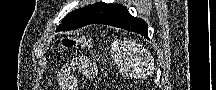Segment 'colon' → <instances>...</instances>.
Wrapping results in <instances>:
<instances>
[{
	"label": "colon",
	"mask_w": 216,
	"mask_h": 90,
	"mask_svg": "<svg viewBox=\"0 0 216 90\" xmlns=\"http://www.w3.org/2000/svg\"><path fill=\"white\" fill-rule=\"evenodd\" d=\"M63 44L66 46H78V47H83L85 45V40L82 38H63Z\"/></svg>",
	"instance_id": "5ec220e1"
}]
</instances>
